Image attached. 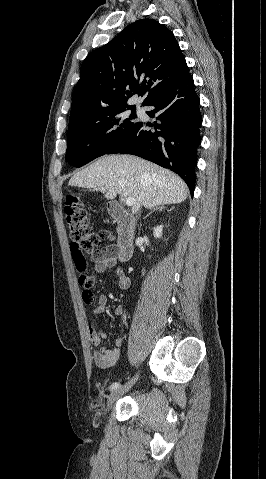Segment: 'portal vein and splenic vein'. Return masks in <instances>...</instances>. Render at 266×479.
Segmentation results:
<instances>
[{
	"instance_id": "portal-vein-and-splenic-vein-1",
	"label": "portal vein and splenic vein",
	"mask_w": 266,
	"mask_h": 479,
	"mask_svg": "<svg viewBox=\"0 0 266 479\" xmlns=\"http://www.w3.org/2000/svg\"><path fill=\"white\" fill-rule=\"evenodd\" d=\"M99 190H100V191H105V188H104V187H100ZM135 202H136V200H135L134 197H127V198L125 199V204H126L127 206H133V205L135 204Z\"/></svg>"
}]
</instances>
